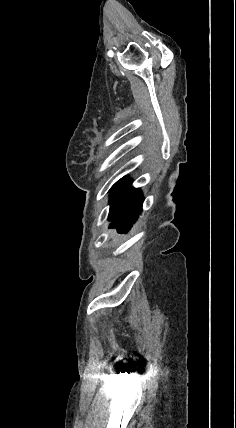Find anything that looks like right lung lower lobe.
I'll use <instances>...</instances> for the list:
<instances>
[{"mask_svg": "<svg viewBox=\"0 0 236 428\" xmlns=\"http://www.w3.org/2000/svg\"><path fill=\"white\" fill-rule=\"evenodd\" d=\"M143 196L140 189L131 186V181L123 180L111 191L109 220L110 228L125 232L132 227L142 211Z\"/></svg>", "mask_w": 236, "mask_h": 428, "instance_id": "obj_1", "label": "right lung lower lobe"}]
</instances>
